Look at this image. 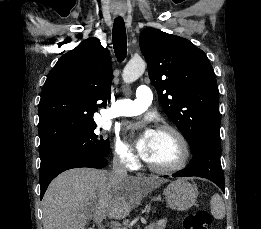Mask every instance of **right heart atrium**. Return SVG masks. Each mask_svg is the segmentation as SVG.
<instances>
[{
  "instance_id": "d8ad5b80",
  "label": "right heart atrium",
  "mask_w": 261,
  "mask_h": 229,
  "mask_svg": "<svg viewBox=\"0 0 261 229\" xmlns=\"http://www.w3.org/2000/svg\"><path fill=\"white\" fill-rule=\"evenodd\" d=\"M114 160L128 171L137 170L140 164L139 157L133 148L120 139H117L114 143Z\"/></svg>"
}]
</instances>
